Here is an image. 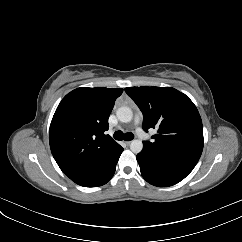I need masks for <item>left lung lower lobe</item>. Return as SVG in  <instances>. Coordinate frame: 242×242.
I'll use <instances>...</instances> for the list:
<instances>
[{
	"instance_id": "obj_1",
	"label": "left lung lower lobe",
	"mask_w": 242,
	"mask_h": 242,
	"mask_svg": "<svg viewBox=\"0 0 242 242\" xmlns=\"http://www.w3.org/2000/svg\"><path fill=\"white\" fill-rule=\"evenodd\" d=\"M137 161L143 178L158 187L171 186L180 182L196 165L162 156L146 147L137 154Z\"/></svg>"
}]
</instances>
